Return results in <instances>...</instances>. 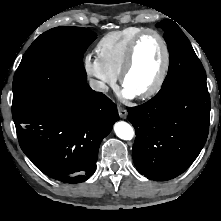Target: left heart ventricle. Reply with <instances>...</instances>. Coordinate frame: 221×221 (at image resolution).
<instances>
[{
    "label": "left heart ventricle",
    "mask_w": 221,
    "mask_h": 221,
    "mask_svg": "<svg viewBox=\"0 0 221 221\" xmlns=\"http://www.w3.org/2000/svg\"><path fill=\"white\" fill-rule=\"evenodd\" d=\"M163 63V48L153 35L139 42L134 64L128 73L124 87L136 95L148 90L156 81Z\"/></svg>",
    "instance_id": "1"
}]
</instances>
